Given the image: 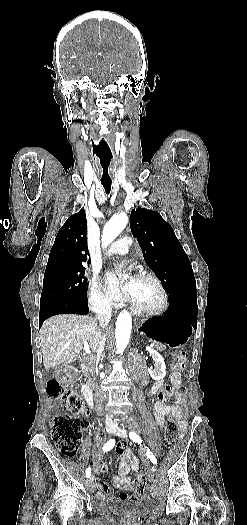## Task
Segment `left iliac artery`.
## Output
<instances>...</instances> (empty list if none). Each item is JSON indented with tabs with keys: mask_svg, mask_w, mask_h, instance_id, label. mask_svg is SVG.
Here are the masks:
<instances>
[{
	"mask_svg": "<svg viewBox=\"0 0 247 525\" xmlns=\"http://www.w3.org/2000/svg\"><path fill=\"white\" fill-rule=\"evenodd\" d=\"M129 437H130V439H131L133 442L138 443V444H142V439H141V437H140L138 434H136L135 432H129ZM147 455L149 456V458H150V460H151V462H152L153 464H157V459H156V457L153 455V453L150 451L149 448H147Z\"/></svg>",
	"mask_w": 247,
	"mask_h": 525,
	"instance_id": "obj_1",
	"label": "left iliac artery"
}]
</instances>
